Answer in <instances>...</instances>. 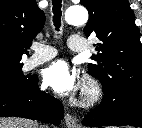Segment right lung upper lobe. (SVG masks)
Instances as JSON below:
<instances>
[{
  "instance_id": "1",
  "label": "right lung upper lobe",
  "mask_w": 142,
  "mask_h": 128,
  "mask_svg": "<svg viewBox=\"0 0 142 128\" xmlns=\"http://www.w3.org/2000/svg\"><path fill=\"white\" fill-rule=\"evenodd\" d=\"M45 23L35 0H0V66H20Z\"/></svg>"
}]
</instances>
